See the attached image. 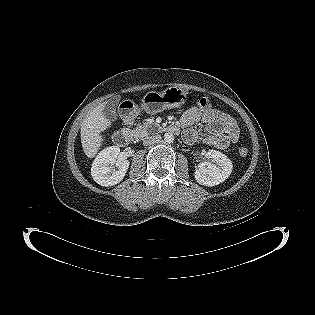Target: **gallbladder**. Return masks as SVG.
<instances>
[{"label": "gallbladder", "mask_w": 315, "mask_h": 315, "mask_svg": "<svg viewBox=\"0 0 315 315\" xmlns=\"http://www.w3.org/2000/svg\"><path fill=\"white\" fill-rule=\"evenodd\" d=\"M115 105H116V100H111L104 107L103 114L109 120L114 121L117 119V114L115 112Z\"/></svg>", "instance_id": "1"}]
</instances>
